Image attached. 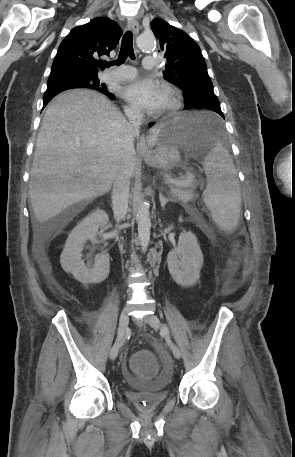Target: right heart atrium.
Here are the masks:
<instances>
[{
    "label": "right heart atrium",
    "instance_id": "obj_1",
    "mask_svg": "<svg viewBox=\"0 0 295 457\" xmlns=\"http://www.w3.org/2000/svg\"><path fill=\"white\" fill-rule=\"evenodd\" d=\"M126 112L131 117H139L140 116V111L137 108L133 107V106H127L126 107Z\"/></svg>",
    "mask_w": 295,
    "mask_h": 457
}]
</instances>
